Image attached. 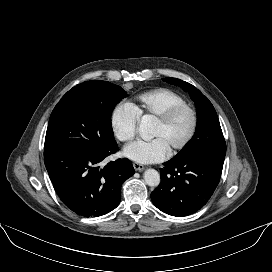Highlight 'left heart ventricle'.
Wrapping results in <instances>:
<instances>
[{
	"mask_svg": "<svg viewBox=\"0 0 272 272\" xmlns=\"http://www.w3.org/2000/svg\"><path fill=\"white\" fill-rule=\"evenodd\" d=\"M191 118L187 112L176 115L168 124H153L152 137L161 138L168 151L179 144L188 134Z\"/></svg>",
	"mask_w": 272,
	"mask_h": 272,
	"instance_id": "left-heart-ventricle-1",
	"label": "left heart ventricle"
}]
</instances>
